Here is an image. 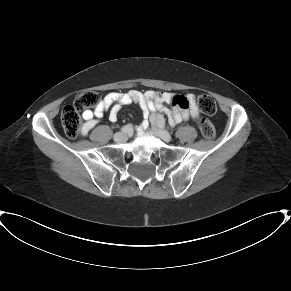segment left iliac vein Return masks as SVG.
<instances>
[{
    "label": "left iliac vein",
    "instance_id": "1",
    "mask_svg": "<svg viewBox=\"0 0 291 291\" xmlns=\"http://www.w3.org/2000/svg\"><path fill=\"white\" fill-rule=\"evenodd\" d=\"M152 130L165 142H170L171 141V135L168 131L165 129L161 128L158 125H155L152 123Z\"/></svg>",
    "mask_w": 291,
    "mask_h": 291
}]
</instances>
